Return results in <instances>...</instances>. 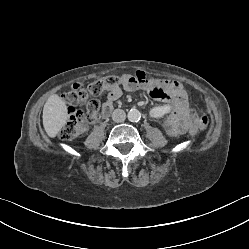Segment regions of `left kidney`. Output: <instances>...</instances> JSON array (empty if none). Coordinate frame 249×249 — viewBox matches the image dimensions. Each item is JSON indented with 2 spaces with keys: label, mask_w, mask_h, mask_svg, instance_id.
I'll return each mask as SVG.
<instances>
[{
  "label": "left kidney",
  "mask_w": 249,
  "mask_h": 249,
  "mask_svg": "<svg viewBox=\"0 0 249 249\" xmlns=\"http://www.w3.org/2000/svg\"><path fill=\"white\" fill-rule=\"evenodd\" d=\"M175 105L172 101H167L165 102H160L155 105V107L151 110V115L156 119V120H161L163 117L169 116L171 113L175 111Z\"/></svg>",
  "instance_id": "1"
}]
</instances>
